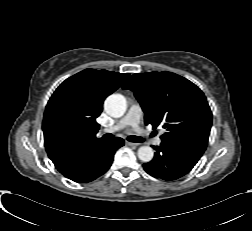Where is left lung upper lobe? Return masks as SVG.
Here are the masks:
<instances>
[{
  "label": "left lung upper lobe",
  "instance_id": "left-lung-upper-lobe-1",
  "mask_svg": "<svg viewBox=\"0 0 252 231\" xmlns=\"http://www.w3.org/2000/svg\"><path fill=\"white\" fill-rule=\"evenodd\" d=\"M134 92L153 129L162 124V140L196 137L208 142L212 112L203 92L171 72L136 73L122 86Z\"/></svg>",
  "mask_w": 252,
  "mask_h": 231
}]
</instances>
